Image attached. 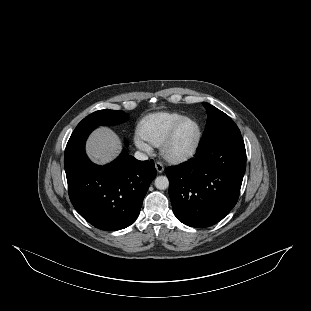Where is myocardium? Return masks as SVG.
Listing matches in <instances>:
<instances>
[{"label": "myocardium", "instance_id": "1", "mask_svg": "<svg viewBox=\"0 0 311 311\" xmlns=\"http://www.w3.org/2000/svg\"><path fill=\"white\" fill-rule=\"evenodd\" d=\"M187 122H194L197 126V135L192 147L184 152H179L175 150L174 145L180 128ZM202 140V126L200 122L192 117H186L180 120L171 130L167 138L160 145V155L161 157L169 163L177 164L185 162L193 158L201 144Z\"/></svg>", "mask_w": 311, "mask_h": 311}]
</instances>
